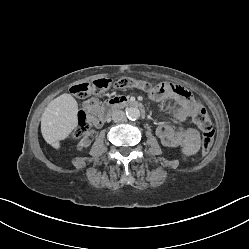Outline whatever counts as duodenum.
<instances>
[{
    "mask_svg": "<svg viewBox=\"0 0 249 249\" xmlns=\"http://www.w3.org/2000/svg\"><path fill=\"white\" fill-rule=\"evenodd\" d=\"M125 107H133L138 109L141 113H144V107L141 102L125 97H115L108 100L107 103L101 107L100 120H108L114 111Z\"/></svg>",
    "mask_w": 249,
    "mask_h": 249,
    "instance_id": "410a0bca",
    "label": "duodenum"
}]
</instances>
